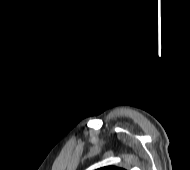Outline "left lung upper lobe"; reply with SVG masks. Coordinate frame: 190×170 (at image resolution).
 Returning <instances> with one entry per match:
<instances>
[{"instance_id":"5c2ea615","label":"left lung upper lobe","mask_w":190,"mask_h":170,"mask_svg":"<svg viewBox=\"0 0 190 170\" xmlns=\"http://www.w3.org/2000/svg\"><path fill=\"white\" fill-rule=\"evenodd\" d=\"M98 170H125V169L119 168V167H116V166H107V167L99 168Z\"/></svg>"}]
</instances>
